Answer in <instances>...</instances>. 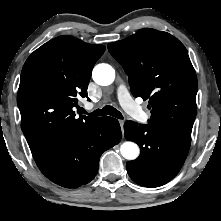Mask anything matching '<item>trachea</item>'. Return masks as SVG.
<instances>
[{
	"label": "trachea",
	"mask_w": 221,
	"mask_h": 221,
	"mask_svg": "<svg viewBox=\"0 0 221 221\" xmlns=\"http://www.w3.org/2000/svg\"><path fill=\"white\" fill-rule=\"evenodd\" d=\"M83 113H86L85 110H82ZM89 115L91 116H105V115H110L113 116L115 118L118 119H123V116L121 114V112H119L117 109H115L114 107L107 105L102 109H97L95 111H93L92 113H90Z\"/></svg>",
	"instance_id": "1"
}]
</instances>
